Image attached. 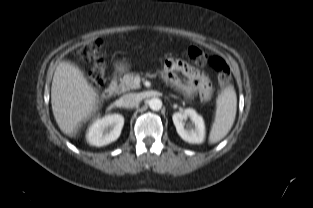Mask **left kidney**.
<instances>
[{
  "label": "left kidney",
  "instance_id": "1",
  "mask_svg": "<svg viewBox=\"0 0 313 208\" xmlns=\"http://www.w3.org/2000/svg\"><path fill=\"white\" fill-rule=\"evenodd\" d=\"M187 118L192 124L185 126ZM173 123L179 136L188 143L200 144L205 138V125L203 118L192 108H187L182 112H176L172 116Z\"/></svg>",
  "mask_w": 313,
  "mask_h": 208
}]
</instances>
